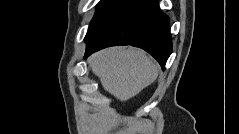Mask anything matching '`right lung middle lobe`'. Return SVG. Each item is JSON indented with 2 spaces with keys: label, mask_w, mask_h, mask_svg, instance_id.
<instances>
[{
  "label": "right lung middle lobe",
  "mask_w": 239,
  "mask_h": 134,
  "mask_svg": "<svg viewBox=\"0 0 239 134\" xmlns=\"http://www.w3.org/2000/svg\"><path fill=\"white\" fill-rule=\"evenodd\" d=\"M126 2V0H101L85 38L89 37L109 16Z\"/></svg>",
  "instance_id": "right-lung-middle-lobe-1"
}]
</instances>
